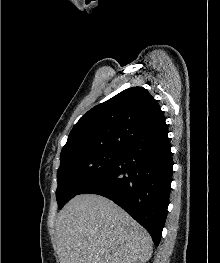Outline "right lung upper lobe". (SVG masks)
<instances>
[{
	"label": "right lung upper lobe",
	"mask_w": 220,
	"mask_h": 263,
	"mask_svg": "<svg viewBox=\"0 0 220 263\" xmlns=\"http://www.w3.org/2000/svg\"><path fill=\"white\" fill-rule=\"evenodd\" d=\"M167 132L157 101L143 87H132L85 113L71 130L61 155L93 148L125 149L136 140Z\"/></svg>",
	"instance_id": "1"
}]
</instances>
